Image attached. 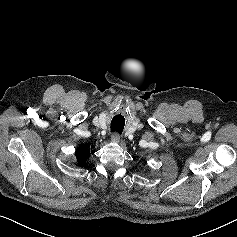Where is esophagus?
Returning <instances> with one entry per match:
<instances>
[{
  "mask_svg": "<svg viewBox=\"0 0 237 237\" xmlns=\"http://www.w3.org/2000/svg\"><path fill=\"white\" fill-rule=\"evenodd\" d=\"M111 141L115 142V143H118L120 141V135L118 133H113L111 135Z\"/></svg>",
  "mask_w": 237,
  "mask_h": 237,
  "instance_id": "obj_1",
  "label": "esophagus"
}]
</instances>
